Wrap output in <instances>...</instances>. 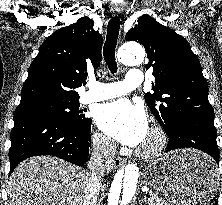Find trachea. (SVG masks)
Masks as SVG:
<instances>
[{
	"instance_id": "trachea-1",
	"label": "trachea",
	"mask_w": 222,
	"mask_h": 205,
	"mask_svg": "<svg viewBox=\"0 0 222 205\" xmlns=\"http://www.w3.org/2000/svg\"><path fill=\"white\" fill-rule=\"evenodd\" d=\"M120 29V19L113 17L108 22L106 41L103 47V56L111 73L117 72L115 50Z\"/></svg>"
}]
</instances>
